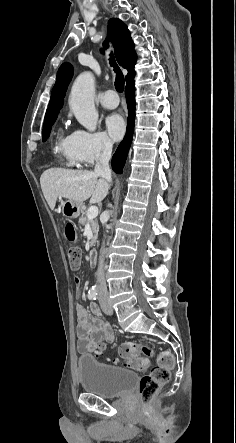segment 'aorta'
Here are the masks:
<instances>
[{
  "label": "aorta",
  "instance_id": "1",
  "mask_svg": "<svg viewBox=\"0 0 236 443\" xmlns=\"http://www.w3.org/2000/svg\"><path fill=\"white\" fill-rule=\"evenodd\" d=\"M94 76L91 72L80 74L71 89L69 106L78 122L88 131H95L98 112L94 105Z\"/></svg>",
  "mask_w": 236,
  "mask_h": 443
}]
</instances>
